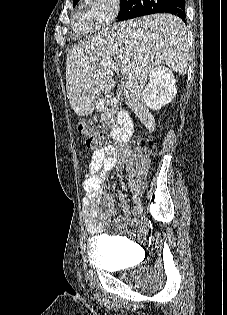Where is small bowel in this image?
<instances>
[{"instance_id": "c3829d8e", "label": "small bowel", "mask_w": 227, "mask_h": 315, "mask_svg": "<svg viewBox=\"0 0 227 315\" xmlns=\"http://www.w3.org/2000/svg\"><path fill=\"white\" fill-rule=\"evenodd\" d=\"M129 157L130 151L127 147L117 148L112 145L102 146L92 154L88 164V173L82 184L85 191L84 219L88 233L98 234L105 223L114 217L116 213L114 201L100 188L106 174L116 166L121 168ZM121 208L126 216L130 214V209L124 201H121ZM120 222L117 220V223L120 224ZM133 226L139 228L140 224L134 222Z\"/></svg>"}]
</instances>
